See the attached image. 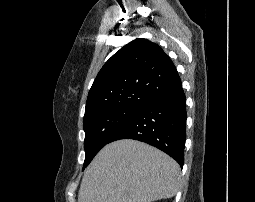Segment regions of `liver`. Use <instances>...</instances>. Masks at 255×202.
<instances>
[{
  "instance_id": "liver-1",
  "label": "liver",
  "mask_w": 255,
  "mask_h": 202,
  "mask_svg": "<svg viewBox=\"0 0 255 202\" xmlns=\"http://www.w3.org/2000/svg\"><path fill=\"white\" fill-rule=\"evenodd\" d=\"M180 167L146 143L123 139L107 144L86 169L78 202H153L179 189Z\"/></svg>"
}]
</instances>
